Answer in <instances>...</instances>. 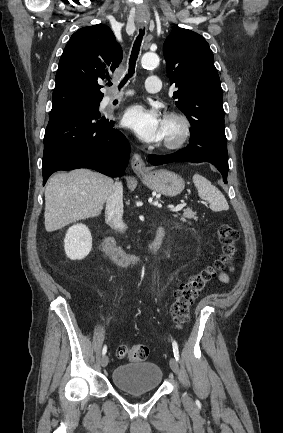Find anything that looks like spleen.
Segmentation results:
<instances>
[{
  "label": "spleen",
  "mask_w": 283,
  "mask_h": 433,
  "mask_svg": "<svg viewBox=\"0 0 283 433\" xmlns=\"http://www.w3.org/2000/svg\"><path fill=\"white\" fill-rule=\"evenodd\" d=\"M193 182L198 190L200 198L203 200H209L211 210L219 212V210H228L229 204L223 196L221 190H218L216 186L211 184L210 180H207L205 176L201 174H194Z\"/></svg>",
  "instance_id": "spleen-1"
}]
</instances>
